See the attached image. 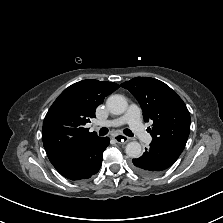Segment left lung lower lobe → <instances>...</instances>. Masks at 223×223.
I'll list each match as a JSON object with an SVG mask.
<instances>
[{"mask_svg": "<svg viewBox=\"0 0 223 223\" xmlns=\"http://www.w3.org/2000/svg\"><path fill=\"white\" fill-rule=\"evenodd\" d=\"M182 151L173 145L152 141L141 157L132 160V167L140 175L152 176L172 166Z\"/></svg>", "mask_w": 223, "mask_h": 223, "instance_id": "left-lung-lower-lobe-1", "label": "left lung lower lobe"}]
</instances>
